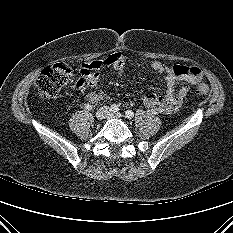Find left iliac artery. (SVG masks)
Wrapping results in <instances>:
<instances>
[{
	"label": "left iliac artery",
	"mask_w": 233,
	"mask_h": 233,
	"mask_svg": "<svg viewBox=\"0 0 233 233\" xmlns=\"http://www.w3.org/2000/svg\"><path fill=\"white\" fill-rule=\"evenodd\" d=\"M133 116H134V113H133L132 110H127V111L125 112V117H126V118L131 119V118H133Z\"/></svg>",
	"instance_id": "44dca946"
}]
</instances>
